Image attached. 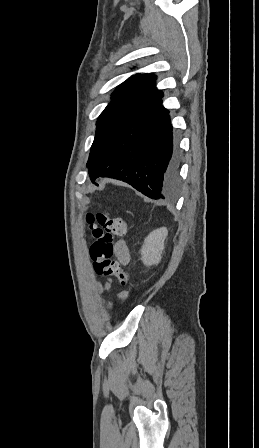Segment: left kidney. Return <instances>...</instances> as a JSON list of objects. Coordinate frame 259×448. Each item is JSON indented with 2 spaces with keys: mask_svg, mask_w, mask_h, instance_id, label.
<instances>
[{
  "mask_svg": "<svg viewBox=\"0 0 259 448\" xmlns=\"http://www.w3.org/2000/svg\"><path fill=\"white\" fill-rule=\"evenodd\" d=\"M167 234V228H159L145 238L141 248V260L145 266H157L159 264Z\"/></svg>",
  "mask_w": 259,
  "mask_h": 448,
  "instance_id": "obj_1",
  "label": "left kidney"
}]
</instances>
